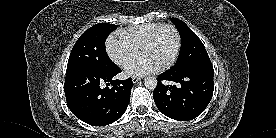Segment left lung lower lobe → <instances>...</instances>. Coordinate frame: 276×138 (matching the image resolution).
Masks as SVG:
<instances>
[{"mask_svg":"<svg viewBox=\"0 0 276 138\" xmlns=\"http://www.w3.org/2000/svg\"><path fill=\"white\" fill-rule=\"evenodd\" d=\"M213 66L175 72L168 70L157 78L154 102L161 113L178 121L199 116L209 104L214 90ZM163 80L175 85H165Z\"/></svg>","mask_w":276,"mask_h":138,"instance_id":"0a47b994","label":"left lung lower lobe"}]
</instances>
